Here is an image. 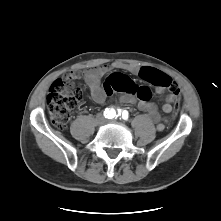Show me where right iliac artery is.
<instances>
[{
    "mask_svg": "<svg viewBox=\"0 0 221 221\" xmlns=\"http://www.w3.org/2000/svg\"><path fill=\"white\" fill-rule=\"evenodd\" d=\"M118 114L120 115V111L118 112ZM104 116H105V118L112 119L114 117H117L118 115H117L116 111L113 108H111V109L107 108L104 111Z\"/></svg>",
    "mask_w": 221,
    "mask_h": 221,
    "instance_id": "1",
    "label": "right iliac artery"
}]
</instances>
